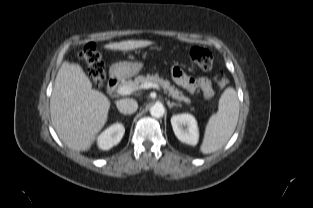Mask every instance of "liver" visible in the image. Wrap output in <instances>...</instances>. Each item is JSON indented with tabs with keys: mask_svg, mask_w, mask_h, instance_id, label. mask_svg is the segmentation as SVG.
<instances>
[{
	"mask_svg": "<svg viewBox=\"0 0 313 208\" xmlns=\"http://www.w3.org/2000/svg\"><path fill=\"white\" fill-rule=\"evenodd\" d=\"M149 40H127L106 44L105 49L129 51L147 47ZM109 99L92 89V83L76 63L63 62L50 98L52 125L59 138L75 151H87L104 127Z\"/></svg>",
	"mask_w": 313,
	"mask_h": 208,
	"instance_id": "obj_1",
	"label": "liver"
}]
</instances>
